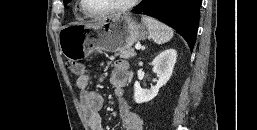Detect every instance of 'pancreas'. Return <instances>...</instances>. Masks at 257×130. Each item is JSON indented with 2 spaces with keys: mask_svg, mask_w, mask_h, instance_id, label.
Instances as JSON below:
<instances>
[{
  "mask_svg": "<svg viewBox=\"0 0 257 130\" xmlns=\"http://www.w3.org/2000/svg\"><path fill=\"white\" fill-rule=\"evenodd\" d=\"M116 55L123 59H130V58L134 57L136 55V53H135L134 49L128 48V49L120 50V52L117 53Z\"/></svg>",
  "mask_w": 257,
  "mask_h": 130,
  "instance_id": "pancreas-1",
  "label": "pancreas"
}]
</instances>
